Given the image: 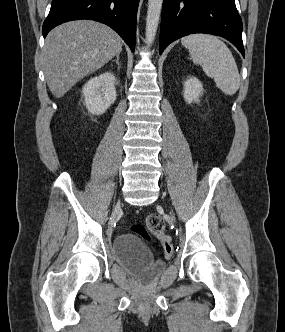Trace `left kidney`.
Returning a JSON list of instances; mask_svg holds the SVG:
<instances>
[{
    "label": "left kidney",
    "instance_id": "5707ae66",
    "mask_svg": "<svg viewBox=\"0 0 285 332\" xmlns=\"http://www.w3.org/2000/svg\"><path fill=\"white\" fill-rule=\"evenodd\" d=\"M203 92V85L196 77H189L184 83V99L190 104L199 102V97Z\"/></svg>",
    "mask_w": 285,
    "mask_h": 332
}]
</instances>
